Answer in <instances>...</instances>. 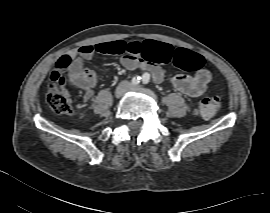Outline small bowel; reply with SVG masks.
<instances>
[{"mask_svg": "<svg viewBox=\"0 0 270 213\" xmlns=\"http://www.w3.org/2000/svg\"><path fill=\"white\" fill-rule=\"evenodd\" d=\"M103 45V43L83 44L78 48L71 50L68 54L69 64L67 66V72L69 82L71 85L82 90L84 100H89L93 96L94 88L97 84L95 73L84 66V61L91 60L97 55L104 54L105 52L101 50ZM143 45L149 48V57L159 63H168L172 61L177 54H186L189 52L186 49H175L169 44L157 41H151ZM121 63L129 70H136L137 68L149 69L155 82H161L164 77L163 69L157 64L138 60L128 55L121 58ZM210 79V72L202 69L192 76L183 74L174 75L170 78V82L180 92L188 96L196 97L202 95L206 91Z\"/></svg>", "mask_w": 270, "mask_h": 213, "instance_id": "1", "label": "small bowel"}]
</instances>
